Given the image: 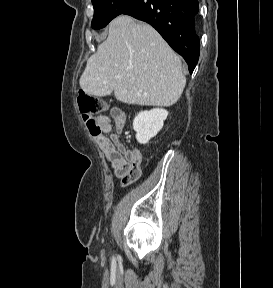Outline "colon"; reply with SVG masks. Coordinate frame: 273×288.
Wrapping results in <instances>:
<instances>
[{
	"mask_svg": "<svg viewBox=\"0 0 273 288\" xmlns=\"http://www.w3.org/2000/svg\"><path fill=\"white\" fill-rule=\"evenodd\" d=\"M77 101L80 113L88 130L94 136L99 135L101 133V127L97 118L106 110V103L100 98L85 93H80Z\"/></svg>",
	"mask_w": 273,
	"mask_h": 288,
	"instance_id": "colon-1",
	"label": "colon"
}]
</instances>
